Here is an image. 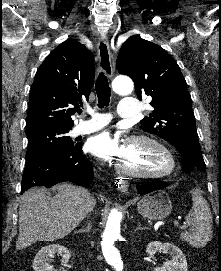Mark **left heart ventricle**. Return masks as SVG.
Masks as SVG:
<instances>
[{
	"instance_id": "b2bd125f",
	"label": "left heart ventricle",
	"mask_w": 221,
	"mask_h": 271,
	"mask_svg": "<svg viewBox=\"0 0 221 271\" xmlns=\"http://www.w3.org/2000/svg\"><path fill=\"white\" fill-rule=\"evenodd\" d=\"M136 141H149L146 139H139ZM132 159H129V164L131 168H143L148 166H159L156 165V161H144V159H135V156H158V155H149L148 152H132Z\"/></svg>"
}]
</instances>
